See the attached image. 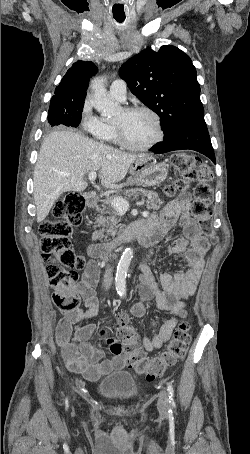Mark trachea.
<instances>
[{
    "label": "trachea",
    "instance_id": "3493384b",
    "mask_svg": "<svg viewBox=\"0 0 250 454\" xmlns=\"http://www.w3.org/2000/svg\"><path fill=\"white\" fill-rule=\"evenodd\" d=\"M114 18L117 22L122 23L125 20V16H115Z\"/></svg>",
    "mask_w": 250,
    "mask_h": 454
}]
</instances>
